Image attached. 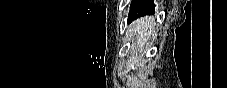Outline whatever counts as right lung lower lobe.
<instances>
[{"label":"right lung lower lobe","instance_id":"1","mask_svg":"<svg viewBox=\"0 0 227 88\" xmlns=\"http://www.w3.org/2000/svg\"><path fill=\"white\" fill-rule=\"evenodd\" d=\"M155 13L153 0H134L130 6L128 23L140 18L141 16Z\"/></svg>","mask_w":227,"mask_h":88}]
</instances>
